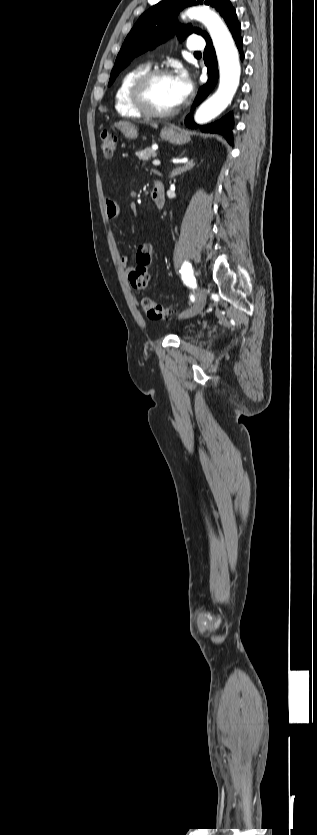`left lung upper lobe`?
Returning a JSON list of instances; mask_svg holds the SVG:
<instances>
[{
	"label": "left lung upper lobe",
	"instance_id": "1",
	"mask_svg": "<svg viewBox=\"0 0 317 835\" xmlns=\"http://www.w3.org/2000/svg\"><path fill=\"white\" fill-rule=\"evenodd\" d=\"M205 4L216 8L220 15L226 19L229 8L225 10L229 0H163L143 13L130 33L127 35L121 50L116 58L112 69L109 86L114 82L117 75L123 70L133 58L145 51L166 41L174 34L180 40L195 32L201 34L205 39L209 38L206 32L191 25H180L176 16L187 6Z\"/></svg>",
	"mask_w": 317,
	"mask_h": 835
}]
</instances>
